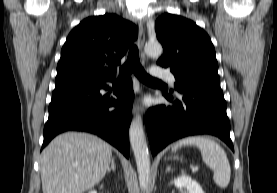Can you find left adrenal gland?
<instances>
[{
	"mask_svg": "<svg viewBox=\"0 0 277 193\" xmlns=\"http://www.w3.org/2000/svg\"><path fill=\"white\" fill-rule=\"evenodd\" d=\"M171 170H172V169H171V166H167V168H166V171H165V172L167 173V172H169V171H171Z\"/></svg>",
	"mask_w": 277,
	"mask_h": 193,
	"instance_id": "1",
	"label": "left adrenal gland"
}]
</instances>
